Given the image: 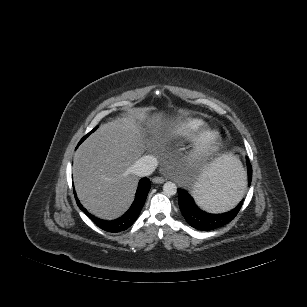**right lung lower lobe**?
I'll use <instances>...</instances> for the list:
<instances>
[{
	"instance_id": "obj_1",
	"label": "right lung lower lobe",
	"mask_w": 307,
	"mask_h": 307,
	"mask_svg": "<svg viewBox=\"0 0 307 307\" xmlns=\"http://www.w3.org/2000/svg\"><path fill=\"white\" fill-rule=\"evenodd\" d=\"M150 190V180L148 178H143L140 180L135 196V200L132 203L131 207L129 210L120 218L111 220V221H106L99 219L90 213L87 212V210L80 204L79 200L76 198L77 205L79 208L85 212L89 218L101 229L107 231V232H120L124 231L127 228H129L138 218L140 211L143 208V205L145 203L147 194Z\"/></svg>"
}]
</instances>
